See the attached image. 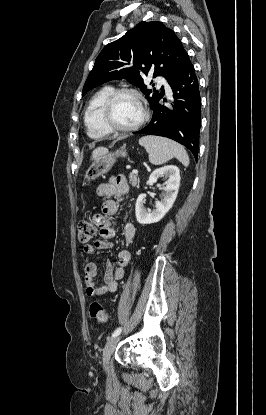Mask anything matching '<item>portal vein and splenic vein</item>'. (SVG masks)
<instances>
[{
    "mask_svg": "<svg viewBox=\"0 0 266 415\" xmlns=\"http://www.w3.org/2000/svg\"><path fill=\"white\" fill-rule=\"evenodd\" d=\"M138 173V170L137 169H133L132 170V174H137Z\"/></svg>",
    "mask_w": 266,
    "mask_h": 415,
    "instance_id": "18ae733b",
    "label": "portal vein and splenic vein"
}]
</instances>
